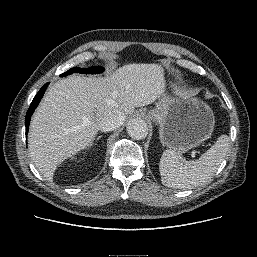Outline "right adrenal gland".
<instances>
[{
  "label": "right adrenal gland",
  "mask_w": 257,
  "mask_h": 257,
  "mask_svg": "<svg viewBox=\"0 0 257 257\" xmlns=\"http://www.w3.org/2000/svg\"><path fill=\"white\" fill-rule=\"evenodd\" d=\"M99 138H101V136H99L97 139L94 138L93 141H94V140L97 141ZM93 141L91 142L90 146L93 145Z\"/></svg>",
  "instance_id": "right-adrenal-gland-1"
}]
</instances>
